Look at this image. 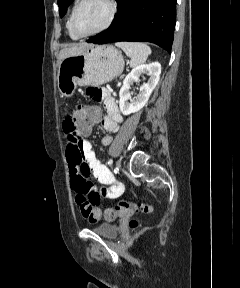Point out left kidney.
<instances>
[{
    "mask_svg": "<svg viewBox=\"0 0 240 288\" xmlns=\"http://www.w3.org/2000/svg\"><path fill=\"white\" fill-rule=\"evenodd\" d=\"M142 74L149 76L147 83H143L140 87V93L135 99L131 98L130 88L133 83L139 82V77ZM161 74V65L158 62H153L146 65H139L132 69L123 81L120 89L119 107L123 115H130L138 112L147 103L152 91L158 84Z\"/></svg>",
    "mask_w": 240,
    "mask_h": 288,
    "instance_id": "1",
    "label": "left kidney"
}]
</instances>
